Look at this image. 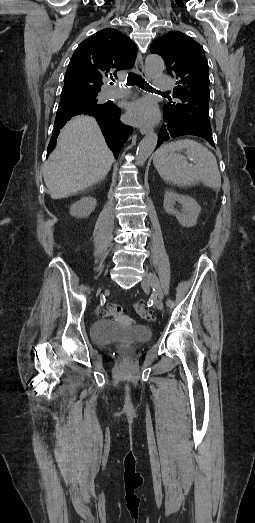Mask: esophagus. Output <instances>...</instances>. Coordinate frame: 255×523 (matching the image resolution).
I'll return each mask as SVG.
<instances>
[{
  "label": "esophagus",
  "instance_id": "esophagus-1",
  "mask_svg": "<svg viewBox=\"0 0 255 523\" xmlns=\"http://www.w3.org/2000/svg\"><path fill=\"white\" fill-rule=\"evenodd\" d=\"M135 68H136V71H137V73L139 75L145 76L144 64H143V59H142L141 53L137 54V57H136V60H135ZM140 132L143 135H147L148 133L152 132V128L142 127V128H140Z\"/></svg>",
  "mask_w": 255,
  "mask_h": 523
}]
</instances>
